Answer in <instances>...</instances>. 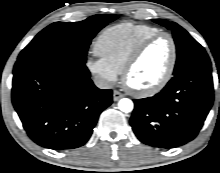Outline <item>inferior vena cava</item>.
I'll return each mask as SVG.
<instances>
[{"mask_svg":"<svg viewBox=\"0 0 220 173\" xmlns=\"http://www.w3.org/2000/svg\"><path fill=\"white\" fill-rule=\"evenodd\" d=\"M93 81L95 86L98 87L99 89H109L112 87V83L108 79L99 75H96Z\"/></svg>","mask_w":220,"mask_h":173,"instance_id":"obj_1","label":"inferior vena cava"}]
</instances>
